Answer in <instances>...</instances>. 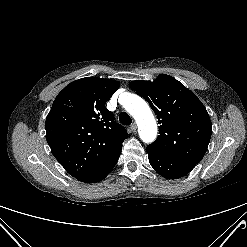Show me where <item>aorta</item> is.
I'll use <instances>...</instances> for the list:
<instances>
[{
    "label": "aorta",
    "instance_id": "aorta-1",
    "mask_svg": "<svg viewBox=\"0 0 247 247\" xmlns=\"http://www.w3.org/2000/svg\"><path fill=\"white\" fill-rule=\"evenodd\" d=\"M124 108L136 120L141 140L153 142L157 135V124L148 104L137 95L126 94Z\"/></svg>",
    "mask_w": 247,
    "mask_h": 247
}]
</instances>
